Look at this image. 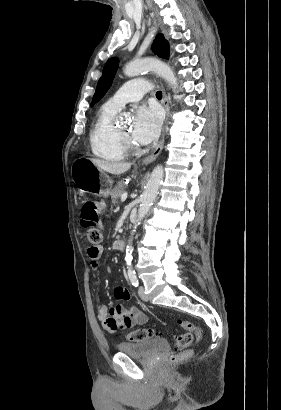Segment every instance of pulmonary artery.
Instances as JSON below:
<instances>
[{
	"label": "pulmonary artery",
	"mask_w": 281,
	"mask_h": 410,
	"mask_svg": "<svg viewBox=\"0 0 281 410\" xmlns=\"http://www.w3.org/2000/svg\"><path fill=\"white\" fill-rule=\"evenodd\" d=\"M152 85L143 78L133 79L126 82L120 89L104 104L107 108L119 111L129 102L139 101L142 96L151 91Z\"/></svg>",
	"instance_id": "obj_1"
}]
</instances>
